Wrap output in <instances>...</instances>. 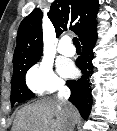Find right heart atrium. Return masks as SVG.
Returning <instances> with one entry per match:
<instances>
[{"mask_svg": "<svg viewBox=\"0 0 117 131\" xmlns=\"http://www.w3.org/2000/svg\"><path fill=\"white\" fill-rule=\"evenodd\" d=\"M26 83L29 89L38 95L52 93L63 87V82L46 62L37 63L28 70Z\"/></svg>", "mask_w": 117, "mask_h": 131, "instance_id": "obj_1", "label": "right heart atrium"}]
</instances>
